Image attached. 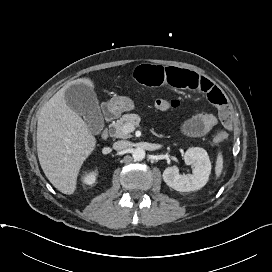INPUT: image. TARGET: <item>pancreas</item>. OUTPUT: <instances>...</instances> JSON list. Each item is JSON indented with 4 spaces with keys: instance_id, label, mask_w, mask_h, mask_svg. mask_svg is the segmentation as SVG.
Listing matches in <instances>:
<instances>
[{
    "instance_id": "1",
    "label": "pancreas",
    "mask_w": 272,
    "mask_h": 272,
    "mask_svg": "<svg viewBox=\"0 0 272 272\" xmlns=\"http://www.w3.org/2000/svg\"><path fill=\"white\" fill-rule=\"evenodd\" d=\"M141 118L137 114H125L120 119H118L115 123L112 124L113 128V136L116 138L127 139L130 138V133H126L123 131V127L127 124H131L133 126L139 125Z\"/></svg>"
}]
</instances>
